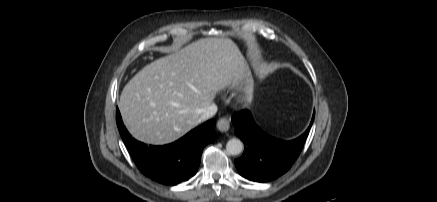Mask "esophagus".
Returning <instances> with one entry per match:
<instances>
[{
  "mask_svg": "<svg viewBox=\"0 0 437 202\" xmlns=\"http://www.w3.org/2000/svg\"><path fill=\"white\" fill-rule=\"evenodd\" d=\"M217 128L221 132H227L230 128V119L228 117H222L217 122Z\"/></svg>",
  "mask_w": 437,
  "mask_h": 202,
  "instance_id": "1",
  "label": "esophagus"
}]
</instances>
